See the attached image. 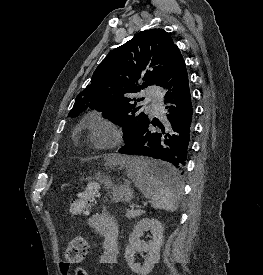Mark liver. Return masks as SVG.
I'll list each match as a JSON object with an SVG mask.
<instances>
[{"mask_svg": "<svg viewBox=\"0 0 263 275\" xmlns=\"http://www.w3.org/2000/svg\"><path fill=\"white\" fill-rule=\"evenodd\" d=\"M110 161V163H120L121 160H123V158L118 157V156H113L110 159H108Z\"/></svg>", "mask_w": 263, "mask_h": 275, "instance_id": "liver-1", "label": "liver"}]
</instances>
